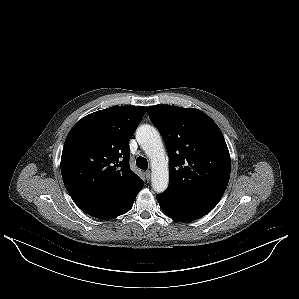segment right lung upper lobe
<instances>
[{"mask_svg":"<svg viewBox=\"0 0 299 299\" xmlns=\"http://www.w3.org/2000/svg\"><path fill=\"white\" fill-rule=\"evenodd\" d=\"M144 107L114 106L91 113L68 133L61 157L64 185L73 200L116 190L126 207L144 186L129 167V141Z\"/></svg>","mask_w":299,"mask_h":299,"instance_id":"obj_1","label":"right lung upper lobe"}]
</instances>
